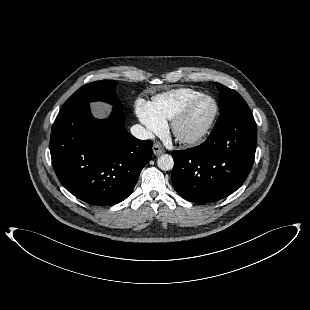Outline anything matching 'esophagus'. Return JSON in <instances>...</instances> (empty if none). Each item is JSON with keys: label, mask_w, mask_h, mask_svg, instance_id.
<instances>
[{"label": "esophagus", "mask_w": 310, "mask_h": 310, "mask_svg": "<svg viewBox=\"0 0 310 310\" xmlns=\"http://www.w3.org/2000/svg\"><path fill=\"white\" fill-rule=\"evenodd\" d=\"M163 152H164V149L160 144L156 143L153 145L154 155L158 156V155L162 154Z\"/></svg>", "instance_id": "obj_1"}]
</instances>
